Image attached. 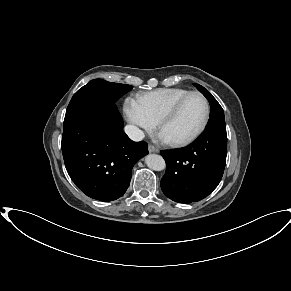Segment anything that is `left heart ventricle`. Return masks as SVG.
<instances>
[{
  "instance_id": "b2bd125f",
  "label": "left heart ventricle",
  "mask_w": 291,
  "mask_h": 291,
  "mask_svg": "<svg viewBox=\"0 0 291 291\" xmlns=\"http://www.w3.org/2000/svg\"><path fill=\"white\" fill-rule=\"evenodd\" d=\"M205 113V103L199 96L190 97L178 115L164 126L161 134L167 140H178L191 135L201 124Z\"/></svg>"
}]
</instances>
